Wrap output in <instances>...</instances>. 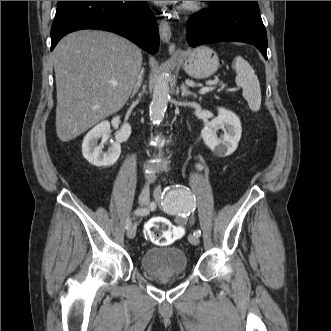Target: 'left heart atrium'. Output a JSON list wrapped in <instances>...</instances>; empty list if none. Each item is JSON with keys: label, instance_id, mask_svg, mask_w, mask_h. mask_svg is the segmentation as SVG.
<instances>
[{"label": "left heart atrium", "instance_id": "39dd6f15", "mask_svg": "<svg viewBox=\"0 0 331 331\" xmlns=\"http://www.w3.org/2000/svg\"><path fill=\"white\" fill-rule=\"evenodd\" d=\"M153 2L158 4V5H164V4H171V3H174L176 1H153Z\"/></svg>", "mask_w": 331, "mask_h": 331}]
</instances>
